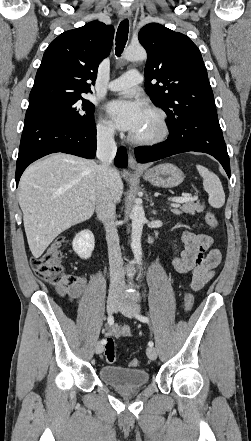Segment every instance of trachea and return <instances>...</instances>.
I'll use <instances>...</instances> for the list:
<instances>
[{
	"label": "trachea",
	"mask_w": 251,
	"mask_h": 441,
	"mask_svg": "<svg viewBox=\"0 0 251 441\" xmlns=\"http://www.w3.org/2000/svg\"><path fill=\"white\" fill-rule=\"evenodd\" d=\"M128 32H129V21L128 19L123 20L118 27L117 33H116V55L120 56L121 53L124 50V47L126 45L127 39H128Z\"/></svg>",
	"instance_id": "1"
}]
</instances>
